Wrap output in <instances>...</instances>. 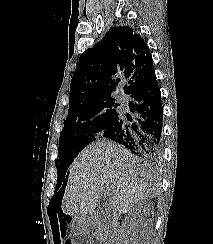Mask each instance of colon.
Wrapping results in <instances>:
<instances>
[{
	"mask_svg": "<svg viewBox=\"0 0 213 244\" xmlns=\"http://www.w3.org/2000/svg\"><path fill=\"white\" fill-rule=\"evenodd\" d=\"M63 244H76L73 239H67L63 242Z\"/></svg>",
	"mask_w": 213,
	"mask_h": 244,
	"instance_id": "colon-1",
	"label": "colon"
}]
</instances>
